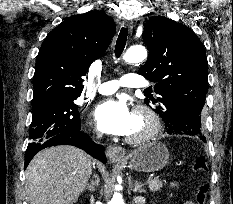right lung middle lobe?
Masks as SVG:
<instances>
[{"label": "right lung middle lobe", "instance_id": "1", "mask_svg": "<svg viewBox=\"0 0 233 204\" xmlns=\"http://www.w3.org/2000/svg\"><path fill=\"white\" fill-rule=\"evenodd\" d=\"M73 99L50 100L32 105L27 150L38 149L45 141L60 133L80 131V114Z\"/></svg>", "mask_w": 233, "mask_h": 204}]
</instances>
